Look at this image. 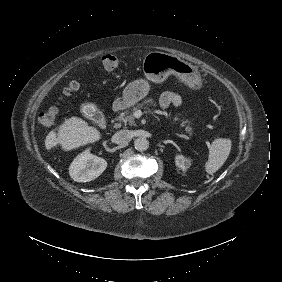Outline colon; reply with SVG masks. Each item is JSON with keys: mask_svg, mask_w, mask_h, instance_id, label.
<instances>
[{"mask_svg": "<svg viewBox=\"0 0 282 282\" xmlns=\"http://www.w3.org/2000/svg\"><path fill=\"white\" fill-rule=\"evenodd\" d=\"M121 64L120 58L115 54H106L102 57L101 65L102 68L106 71H111L119 68ZM76 89L75 83H70L66 85L60 94V97L58 98H64L70 95L74 90ZM58 106L59 101L55 102L53 105L48 107L40 116L39 118V125L45 130H50L56 121L57 113H58Z\"/></svg>", "mask_w": 282, "mask_h": 282, "instance_id": "5ec220e1", "label": "colon"}]
</instances>
